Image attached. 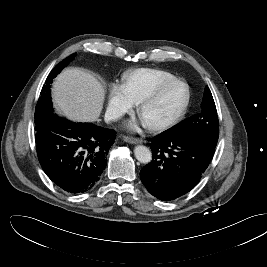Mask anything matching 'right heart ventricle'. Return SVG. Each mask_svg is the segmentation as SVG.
Returning a JSON list of instances; mask_svg holds the SVG:
<instances>
[{"label": "right heart ventricle", "instance_id": "right-heart-ventricle-1", "mask_svg": "<svg viewBox=\"0 0 267 267\" xmlns=\"http://www.w3.org/2000/svg\"><path fill=\"white\" fill-rule=\"evenodd\" d=\"M177 79L173 74L160 69L138 68L130 70L123 75V87L133 104L160 85Z\"/></svg>", "mask_w": 267, "mask_h": 267}]
</instances>
